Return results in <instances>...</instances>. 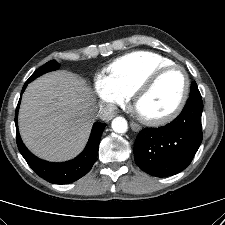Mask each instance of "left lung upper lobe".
I'll list each match as a JSON object with an SVG mask.
<instances>
[{
  "label": "left lung upper lobe",
  "mask_w": 225,
  "mask_h": 225,
  "mask_svg": "<svg viewBox=\"0 0 225 225\" xmlns=\"http://www.w3.org/2000/svg\"><path fill=\"white\" fill-rule=\"evenodd\" d=\"M193 95H201L199 90H198L197 84L195 82H193L192 85H191L190 96H193Z\"/></svg>",
  "instance_id": "left-lung-upper-lobe-1"
}]
</instances>
